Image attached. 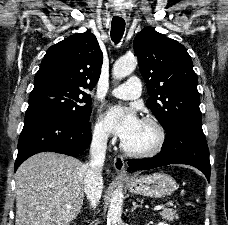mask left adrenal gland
Masks as SVG:
<instances>
[{
	"label": "left adrenal gland",
	"instance_id": "left-adrenal-gland-1",
	"mask_svg": "<svg viewBox=\"0 0 228 225\" xmlns=\"http://www.w3.org/2000/svg\"><path fill=\"white\" fill-rule=\"evenodd\" d=\"M133 207L131 209V211H135V209H137V207H142V205H137V203H132Z\"/></svg>",
	"mask_w": 228,
	"mask_h": 225
}]
</instances>
